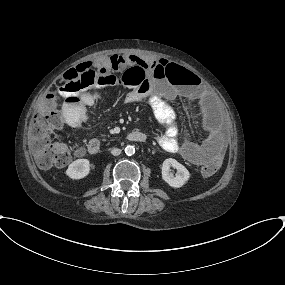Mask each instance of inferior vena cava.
I'll list each match as a JSON object with an SVG mask.
<instances>
[{
    "label": "inferior vena cava",
    "mask_w": 285,
    "mask_h": 285,
    "mask_svg": "<svg viewBox=\"0 0 285 285\" xmlns=\"http://www.w3.org/2000/svg\"><path fill=\"white\" fill-rule=\"evenodd\" d=\"M111 154L114 155V156H118V155L121 154V150L118 149V148H113V149L111 150Z\"/></svg>",
    "instance_id": "obj_1"
}]
</instances>
